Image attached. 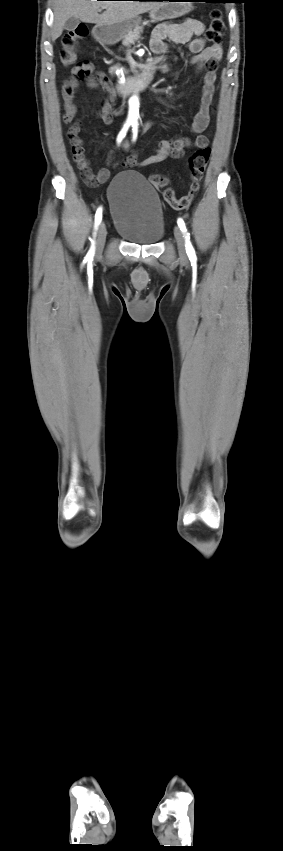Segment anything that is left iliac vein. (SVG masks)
<instances>
[{"instance_id": "left-iliac-vein-1", "label": "left iliac vein", "mask_w": 283, "mask_h": 851, "mask_svg": "<svg viewBox=\"0 0 283 851\" xmlns=\"http://www.w3.org/2000/svg\"><path fill=\"white\" fill-rule=\"evenodd\" d=\"M174 236L176 239L178 251L181 257H186V246L183 233L179 227L174 228Z\"/></svg>"}]
</instances>
